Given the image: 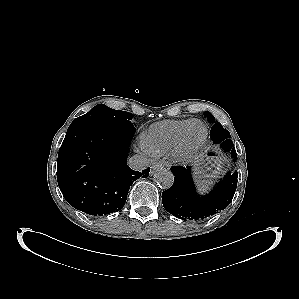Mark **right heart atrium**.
<instances>
[{
	"instance_id": "obj_1",
	"label": "right heart atrium",
	"mask_w": 299,
	"mask_h": 299,
	"mask_svg": "<svg viewBox=\"0 0 299 299\" xmlns=\"http://www.w3.org/2000/svg\"><path fill=\"white\" fill-rule=\"evenodd\" d=\"M140 149H141L142 152L145 153V154H148V155L152 154V153L150 152V150L147 148V146L145 145L143 139H142L141 142H140Z\"/></svg>"
}]
</instances>
